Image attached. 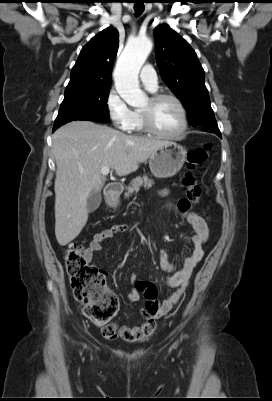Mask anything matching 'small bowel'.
<instances>
[{"instance_id": "obj_1", "label": "small bowel", "mask_w": 272, "mask_h": 401, "mask_svg": "<svg viewBox=\"0 0 272 401\" xmlns=\"http://www.w3.org/2000/svg\"><path fill=\"white\" fill-rule=\"evenodd\" d=\"M167 193V190L161 191L162 195H166ZM167 208L182 216L192 227L194 232L191 238L193 249L185 258L182 267L178 270H175L166 252L161 251L159 256L160 267L164 272L169 274L166 283L168 287L174 289L173 292L162 302H159L157 298H153L151 302L158 304V311L152 315L144 314V322L139 326L129 327L112 324L113 333L109 338L119 337L128 342H137L146 340L152 335L155 330V320L166 315L179 302L188 287L193 269L204 256L203 245L209 237L207 218L203 214L191 210L190 202L186 199H180L177 204L168 205ZM129 229L128 225L118 224L94 233L85 250L86 260L91 262L94 259L95 254L101 250V243L104 240L110 239L116 234L127 232ZM130 283L132 288L128 294V300L130 302H137L140 300L141 291L137 286L140 282L134 274L130 277Z\"/></svg>"}]
</instances>
